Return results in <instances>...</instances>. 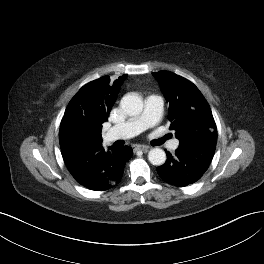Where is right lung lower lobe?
I'll return each mask as SVG.
<instances>
[{
	"mask_svg": "<svg viewBox=\"0 0 264 264\" xmlns=\"http://www.w3.org/2000/svg\"><path fill=\"white\" fill-rule=\"evenodd\" d=\"M64 162L82 186L104 191L118 184L126 162L132 157L130 147L104 150L102 141L61 149Z\"/></svg>",
	"mask_w": 264,
	"mask_h": 264,
	"instance_id": "1",
	"label": "right lung lower lobe"
}]
</instances>
